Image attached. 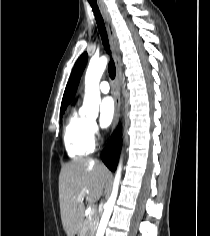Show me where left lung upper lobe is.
Here are the masks:
<instances>
[{
    "mask_svg": "<svg viewBox=\"0 0 210 236\" xmlns=\"http://www.w3.org/2000/svg\"><path fill=\"white\" fill-rule=\"evenodd\" d=\"M87 59H88L87 53H83L80 56V58L77 60L73 68L70 81L66 86L65 93L63 96L62 105L64 109L67 107V105L72 101V99L75 96V93H76V90H77V87L81 78V74L87 63Z\"/></svg>",
    "mask_w": 210,
    "mask_h": 236,
    "instance_id": "obj_1",
    "label": "left lung upper lobe"
}]
</instances>
